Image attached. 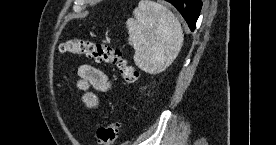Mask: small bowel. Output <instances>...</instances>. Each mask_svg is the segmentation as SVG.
Wrapping results in <instances>:
<instances>
[{"instance_id":"1","label":"small bowel","mask_w":276,"mask_h":145,"mask_svg":"<svg viewBox=\"0 0 276 145\" xmlns=\"http://www.w3.org/2000/svg\"><path fill=\"white\" fill-rule=\"evenodd\" d=\"M78 75L80 77L78 87L84 91V104L88 108H96L98 106V98L90 89L92 88L100 92L109 91L111 89V83L107 75L103 71L88 64L79 67Z\"/></svg>"}]
</instances>
